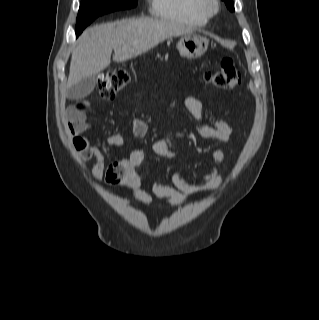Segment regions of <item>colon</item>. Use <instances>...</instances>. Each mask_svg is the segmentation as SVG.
<instances>
[{
    "label": "colon",
    "instance_id": "colon-1",
    "mask_svg": "<svg viewBox=\"0 0 319 320\" xmlns=\"http://www.w3.org/2000/svg\"><path fill=\"white\" fill-rule=\"evenodd\" d=\"M205 80L217 88L232 89L240 83L241 77L233 58L224 57L220 62L218 70L205 74ZM130 81V73L125 68H115L109 71L101 78L99 84L100 97L104 100H113ZM120 167L121 164L119 162L111 165L108 173L110 180H118V177L113 176V172Z\"/></svg>",
    "mask_w": 319,
    "mask_h": 320
}]
</instances>
